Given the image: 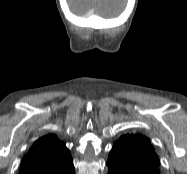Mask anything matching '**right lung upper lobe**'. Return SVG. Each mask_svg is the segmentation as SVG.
<instances>
[{
  "instance_id": "1",
  "label": "right lung upper lobe",
  "mask_w": 187,
  "mask_h": 174,
  "mask_svg": "<svg viewBox=\"0 0 187 174\" xmlns=\"http://www.w3.org/2000/svg\"><path fill=\"white\" fill-rule=\"evenodd\" d=\"M73 161L65 144L49 134L38 139L24 156L19 174H69Z\"/></svg>"
}]
</instances>
